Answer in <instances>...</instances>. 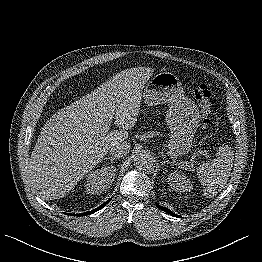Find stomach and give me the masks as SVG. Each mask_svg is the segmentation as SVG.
<instances>
[{"mask_svg": "<svg viewBox=\"0 0 262 262\" xmlns=\"http://www.w3.org/2000/svg\"><path fill=\"white\" fill-rule=\"evenodd\" d=\"M143 98L148 106L169 104L166 113L170 129L169 151L177 155L186 154L199 127L200 115L196 104L184 96L179 78L171 72L155 75L146 85Z\"/></svg>", "mask_w": 262, "mask_h": 262, "instance_id": "stomach-1", "label": "stomach"}]
</instances>
